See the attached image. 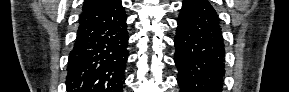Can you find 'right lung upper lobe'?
Segmentation results:
<instances>
[{"label": "right lung upper lobe", "instance_id": "right-lung-upper-lobe-1", "mask_svg": "<svg viewBox=\"0 0 289 92\" xmlns=\"http://www.w3.org/2000/svg\"><path fill=\"white\" fill-rule=\"evenodd\" d=\"M112 0H86L83 6V10L94 9L108 4Z\"/></svg>", "mask_w": 289, "mask_h": 92}]
</instances>
